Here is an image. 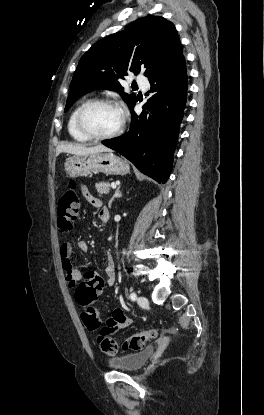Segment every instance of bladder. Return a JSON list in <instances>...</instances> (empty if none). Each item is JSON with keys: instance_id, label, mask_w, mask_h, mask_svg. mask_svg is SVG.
<instances>
[{"instance_id": "1", "label": "bladder", "mask_w": 264, "mask_h": 415, "mask_svg": "<svg viewBox=\"0 0 264 415\" xmlns=\"http://www.w3.org/2000/svg\"><path fill=\"white\" fill-rule=\"evenodd\" d=\"M155 352V346L149 345L133 353L124 354L121 357L109 361V366L122 371H138Z\"/></svg>"}]
</instances>
